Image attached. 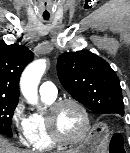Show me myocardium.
<instances>
[{
  "label": "myocardium",
  "instance_id": "myocardium-1",
  "mask_svg": "<svg viewBox=\"0 0 130 153\" xmlns=\"http://www.w3.org/2000/svg\"><path fill=\"white\" fill-rule=\"evenodd\" d=\"M65 105H73L75 106L82 114L84 127L81 134L74 139H67L60 135L57 125H56V116L59 110ZM46 125L49 132L50 137L56 144L65 145V146H73L80 144L85 141L87 138L90 129H91V120L89 113L86 107L76 99L72 98H64L55 101L52 103L48 109L47 114L45 115Z\"/></svg>",
  "mask_w": 130,
  "mask_h": 153
}]
</instances>
